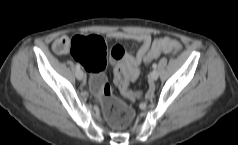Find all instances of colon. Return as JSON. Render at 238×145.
<instances>
[{
    "mask_svg": "<svg viewBox=\"0 0 238 145\" xmlns=\"http://www.w3.org/2000/svg\"><path fill=\"white\" fill-rule=\"evenodd\" d=\"M179 47L165 37L154 42L145 57V62L157 58L162 53H177ZM70 53L90 74V88L99 101L107 122L115 129L127 127L133 120L134 112L126 103L117 98L107 82L103 71L106 67L108 51L104 40L99 36H75L70 42ZM110 57L117 61L115 67V84L124 96L136 99L139 92L129 88V77L126 66L122 63L125 51L122 46L114 45L110 49Z\"/></svg>",
    "mask_w": 238,
    "mask_h": 145,
    "instance_id": "obj_1",
    "label": "colon"
}]
</instances>
